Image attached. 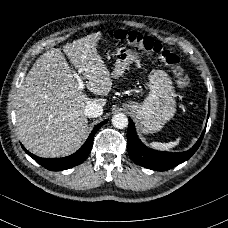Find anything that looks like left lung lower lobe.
<instances>
[{
  "label": "left lung lower lobe",
  "instance_id": "obj_1",
  "mask_svg": "<svg viewBox=\"0 0 228 228\" xmlns=\"http://www.w3.org/2000/svg\"><path fill=\"white\" fill-rule=\"evenodd\" d=\"M209 112L210 107L208 116ZM205 130L206 127L196 144L190 150L180 153L162 152L147 148L139 140L134 123L129 119V127L127 131L128 154L131 160L137 165L155 171H166L188 160L197 151L202 142Z\"/></svg>",
  "mask_w": 228,
  "mask_h": 228
}]
</instances>
